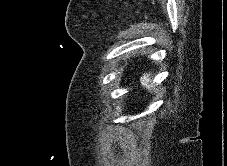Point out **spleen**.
Wrapping results in <instances>:
<instances>
[{
  "mask_svg": "<svg viewBox=\"0 0 227 166\" xmlns=\"http://www.w3.org/2000/svg\"><path fill=\"white\" fill-rule=\"evenodd\" d=\"M150 80V74H144L143 77H141L140 82L143 86L147 87L148 89H151V85L148 84Z\"/></svg>",
  "mask_w": 227,
  "mask_h": 166,
  "instance_id": "1",
  "label": "spleen"
}]
</instances>
